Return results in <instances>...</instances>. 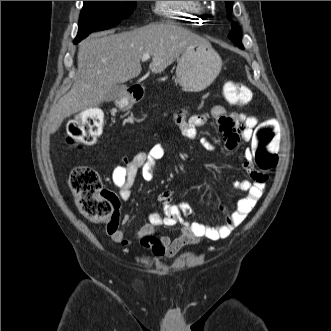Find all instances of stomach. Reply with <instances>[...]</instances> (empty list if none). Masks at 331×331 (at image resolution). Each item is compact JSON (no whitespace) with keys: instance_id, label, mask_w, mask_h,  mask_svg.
<instances>
[{"instance_id":"1","label":"stomach","mask_w":331,"mask_h":331,"mask_svg":"<svg viewBox=\"0 0 331 331\" xmlns=\"http://www.w3.org/2000/svg\"><path fill=\"white\" fill-rule=\"evenodd\" d=\"M222 60L209 42L189 45L178 60L176 80L187 91L198 92L207 88L218 76ZM131 101L123 98L119 108L128 109Z\"/></svg>"}]
</instances>
